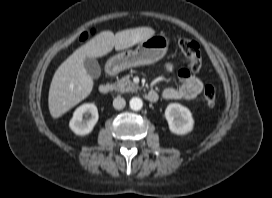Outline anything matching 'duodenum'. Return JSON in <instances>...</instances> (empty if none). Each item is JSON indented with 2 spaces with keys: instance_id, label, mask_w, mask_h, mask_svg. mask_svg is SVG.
<instances>
[{
  "instance_id": "410a0bca",
  "label": "duodenum",
  "mask_w": 272,
  "mask_h": 198,
  "mask_svg": "<svg viewBox=\"0 0 272 198\" xmlns=\"http://www.w3.org/2000/svg\"><path fill=\"white\" fill-rule=\"evenodd\" d=\"M108 73L109 74H114L115 73V70L112 68V67H109L108 68ZM112 90V86L110 84H102L100 85L99 87V93L100 94H103V95H106V94H109ZM147 100L150 101V102H155L158 98V95L155 91H149L147 93Z\"/></svg>"
}]
</instances>
